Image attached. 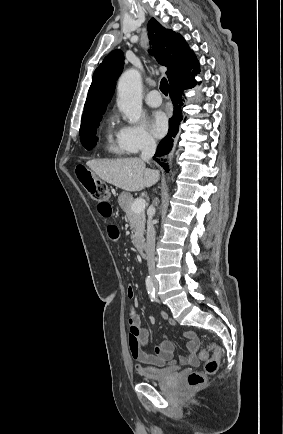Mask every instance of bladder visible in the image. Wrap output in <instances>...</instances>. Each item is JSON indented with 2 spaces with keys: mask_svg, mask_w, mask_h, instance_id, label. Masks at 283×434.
<instances>
[{
  "mask_svg": "<svg viewBox=\"0 0 283 434\" xmlns=\"http://www.w3.org/2000/svg\"><path fill=\"white\" fill-rule=\"evenodd\" d=\"M178 373L177 367L159 368L153 366L144 367L140 372V376L145 381H164L175 376Z\"/></svg>",
  "mask_w": 283,
  "mask_h": 434,
  "instance_id": "1",
  "label": "bladder"
}]
</instances>
